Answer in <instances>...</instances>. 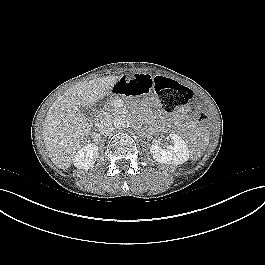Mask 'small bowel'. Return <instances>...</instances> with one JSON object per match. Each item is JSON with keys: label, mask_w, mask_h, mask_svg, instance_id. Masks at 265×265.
Returning a JSON list of instances; mask_svg holds the SVG:
<instances>
[{"label": "small bowel", "mask_w": 265, "mask_h": 265, "mask_svg": "<svg viewBox=\"0 0 265 265\" xmlns=\"http://www.w3.org/2000/svg\"><path fill=\"white\" fill-rule=\"evenodd\" d=\"M190 110H191L190 107L183 108V109L180 110V114L186 115L187 113L190 112Z\"/></svg>", "instance_id": "obj_1"}]
</instances>
